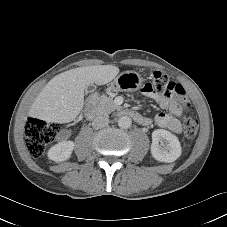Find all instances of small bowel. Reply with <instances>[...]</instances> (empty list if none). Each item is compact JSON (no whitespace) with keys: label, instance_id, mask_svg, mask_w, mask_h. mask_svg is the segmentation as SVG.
I'll return each instance as SVG.
<instances>
[{"label":"small bowel","instance_id":"obj_1","mask_svg":"<svg viewBox=\"0 0 227 227\" xmlns=\"http://www.w3.org/2000/svg\"><path fill=\"white\" fill-rule=\"evenodd\" d=\"M141 92L155 100L162 109L168 111V113H158L154 117V120L145 117L143 124L149 125L154 121V123L161 128L168 129L174 133L181 132L182 126L180 118L183 114V108L180 102L174 97V93L172 91H165L163 95H157L155 94V87L151 82H144L141 85ZM65 137L66 134H63L61 139Z\"/></svg>","mask_w":227,"mask_h":227}]
</instances>
